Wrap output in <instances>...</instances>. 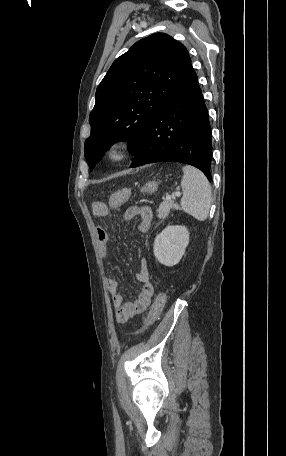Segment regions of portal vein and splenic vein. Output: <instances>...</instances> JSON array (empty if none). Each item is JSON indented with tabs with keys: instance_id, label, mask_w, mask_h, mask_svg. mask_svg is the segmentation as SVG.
Returning <instances> with one entry per match:
<instances>
[{
	"instance_id": "obj_1",
	"label": "portal vein and splenic vein",
	"mask_w": 286,
	"mask_h": 456,
	"mask_svg": "<svg viewBox=\"0 0 286 456\" xmlns=\"http://www.w3.org/2000/svg\"><path fill=\"white\" fill-rule=\"evenodd\" d=\"M176 196H181V193L180 192H175L172 195H167L166 196V200H171L172 198H174Z\"/></svg>"
}]
</instances>
